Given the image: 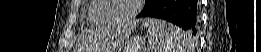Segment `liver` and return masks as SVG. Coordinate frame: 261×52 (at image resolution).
<instances>
[{
    "label": "liver",
    "instance_id": "6515ba94",
    "mask_svg": "<svg viewBox=\"0 0 261 52\" xmlns=\"http://www.w3.org/2000/svg\"><path fill=\"white\" fill-rule=\"evenodd\" d=\"M132 30V28H128L125 30V33L127 34L128 32H130ZM102 32H106V29L105 30H102Z\"/></svg>",
    "mask_w": 261,
    "mask_h": 52
}]
</instances>
